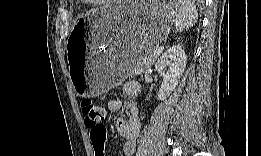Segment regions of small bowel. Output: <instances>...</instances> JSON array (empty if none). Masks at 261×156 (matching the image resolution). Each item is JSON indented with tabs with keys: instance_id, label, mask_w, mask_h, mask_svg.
<instances>
[{
	"instance_id": "obj_1",
	"label": "small bowel",
	"mask_w": 261,
	"mask_h": 156,
	"mask_svg": "<svg viewBox=\"0 0 261 156\" xmlns=\"http://www.w3.org/2000/svg\"><path fill=\"white\" fill-rule=\"evenodd\" d=\"M141 87L135 81L125 83L123 93L127 97H134L139 94ZM123 103L120 99L112 98L108 101V109L113 112H118L122 109ZM127 118L120 117L116 120V129L118 133L125 138L123 146V154L125 156H132L135 153L137 141L140 134L141 123L139 119L138 107L134 103L126 105ZM107 151H102L100 156H106Z\"/></svg>"
}]
</instances>
